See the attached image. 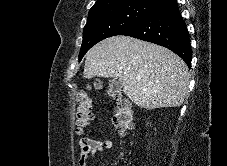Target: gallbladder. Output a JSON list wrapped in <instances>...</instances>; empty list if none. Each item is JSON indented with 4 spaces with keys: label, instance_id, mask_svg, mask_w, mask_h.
I'll list each match as a JSON object with an SVG mask.
<instances>
[{
    "label": "gallbladder",
    "instance_id": "gallbladder-1",
    "mask_svg": "<svg viewBox=\"0 0 227 166\" xmlns=\"http://www.w3.org/2000/svg\"><path fill=\"white\" fill-rule=\"evenodd\" d=\"M122 88H123V84L119 79L113 78V79L109 80L108 92L111 96H114V95L120 93Z\"/></svg>",
    "mask_w": 227,
    "mask_h": 166
}]
</instances>
